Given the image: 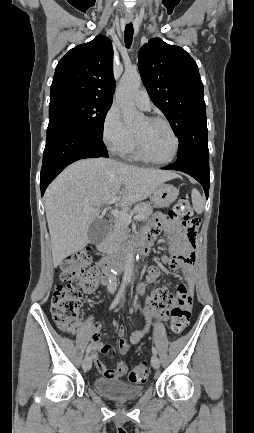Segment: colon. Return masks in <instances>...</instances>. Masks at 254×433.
I'll list each match as a JSON object with an SVG mask.
<instances>
[{
    "mask_svg": "<svg viewBox=\"0 0 254 433\" xmlns=\"http://www.w3.org/2000/svg\"><path fill=\"white\" fill-rule=\"evenodd\" d=\"M163 221L176 226L183 233L189 244L195 246L200 227V219L194 215L189 200L180 198ZM103 265L96 262L91 265L90 252L86 249L68 256L61 264L59 284L55 287L51 300V314L58 327L66 333H74L78 327V316L84 293L94 292L103 276ZM190 297L179 296L176 305L171 309L170 332L181 334L190 320ZM149 374L147 362L139 363L130 373L131 382H143Z\"/></svg>",
    "mask_w": 254,
    "mask_h": 433,
    "instance_id": "colon-1",
    "label": "colon"
}]
</instances>
